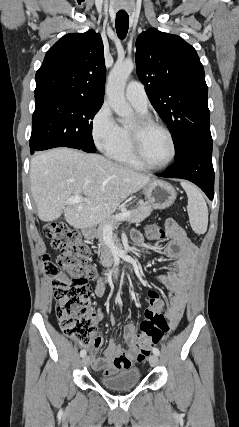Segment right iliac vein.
Wrapping results in <instances>:
<instances>
[{
    "label": "right iliac vein",
    "mask_w": 239,
    "mask_h": 427,
    "mask_svg": "<svg viewBox=\"0 0 239 427\" xmlns=\"http://www.w3.org/2000/svg\"><path fill=\"white\" fill-rule=\"evenodd\" d=\"M90 364V358L88 356H84L82 359V365L88 366Z\"/></svg>",
    "instance_id": "1"
}]
</instances>
